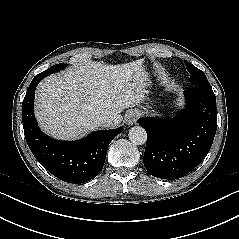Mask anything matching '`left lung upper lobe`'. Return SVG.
<instances>
[{
	"instance_id": "5c2ea615",
	"label": "left lung upper lobe",
	"mask_w": 239,
	"mask_h": 239,
	"mask_svg": "<svg viewBox=\"0 0 239 239\" xmlns=\"http://www.w3.org/2000/svg\"><path fill=\"white\" fill-rule=\"evenodd\" d=\"M185 65L190 73L189 81L192 83L193 87H208L211 88L206 75L200 69L196 68L188 61L185 60Z\"/></svg>"
}]
</instances>
